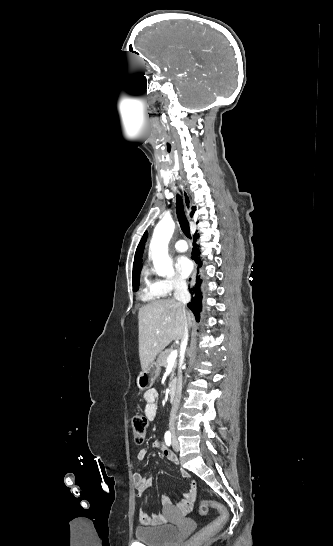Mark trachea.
Masks as SVG:
<instances>
[{
    "mask_svg": "<svg viewBox=\"0 0 333 546\" xmlns=\"http://www.w3.org/2000/svg\"><path fill=\"white\" fill-rule=\"evenodd\" d=\"M176 213H177V218L183 233L188 238H191L189 223L184 213L183 201L179 195H177V199H176Z\"/></svg>",
    "mask_w": 333,
    "mask_h": 546,
    "instance_id": "3493384b",
    "label": "trachea"
}]
</instances>
